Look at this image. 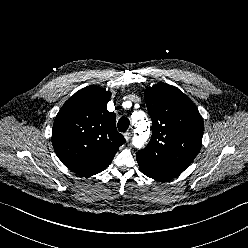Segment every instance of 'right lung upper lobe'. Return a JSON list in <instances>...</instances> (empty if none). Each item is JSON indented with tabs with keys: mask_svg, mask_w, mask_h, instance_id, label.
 <instances>
[{
	"mask_svg": "<svg viewBox=\"0 0 248 248\" xmlns=\"http://www.w3.org/2000/svg\"><path fill=\"white\" fill-rule=\"evenodd\" d=\"M111 92L92 85L76 92L58 112L52 144L61 162L81 176L106 169L119 146L125 143L107 110Z\"/></svg>",
	"mask_w": 248,
	"mask_h": 248,
	"instance_id": "right-lung-upper-lobe-1",
	"label": "right lung upper lobe"
}]
</instances>
